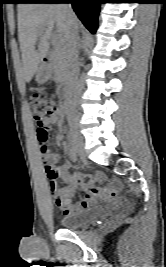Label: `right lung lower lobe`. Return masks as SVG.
<instances>
[{
    "mask_svg": "<svg viewBox=\"0 0 166 267\" xmlns=\"http://www.w3.org/2000/svg\"><path fill=\"white\" fill-rule=\"evenodd\" d=\"M64 1L72 4L79 19L94 34L98 27L101 0H32L20 3H63Z\"/></svg>",
    "mask_w": 166,
    "mask_h": 267,
    "instance_id": "98d812e1",
    "label": "right lung lower lobe"
}]
</instances>
